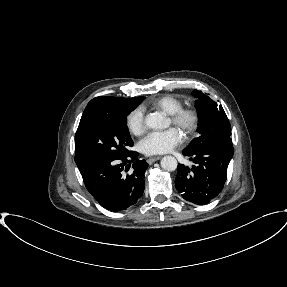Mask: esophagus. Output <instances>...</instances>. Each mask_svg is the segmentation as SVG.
I'll return each instance as SVG.
<instances>
[{
    "instance_id": "1",
    "label": "esophagus",
    "mask_w": 287,
    "mask_h": 287,
    "mask_svg": "<svg viewBox=\"0 0 287 287\" xmlns=\"http://www.w3.org/2000/svg\"><path fill=\"white\" fill-rule=\"evenodd\" d=\"M160 159H161V156L151 157V158H149V159L147 160V162H148L149 164H152V163H154V162H156V161H158V160H160Z\"/></svg>"
}]
</instances>
